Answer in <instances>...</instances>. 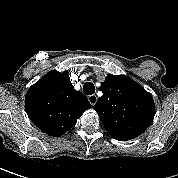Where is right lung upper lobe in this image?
Wrapping results in <instances>:
<instances>
[{"mask_svg":"<svg viewBox=\"0 0 178 178\" xmlns=\"http://www.w3.org/2000/svg\"><path fill=\"white\" fill-rule=\"evenodd\" d=\"M25 108L40 130L57 137L71 129L91 104L74 89L68 71L52 70L29 88Z\"/></svg>","mask_w":178,"mask_h":178,"instance_id":"right-lung-upper-lobe-1","label":"right lung upper lobe"}]
</instances>
